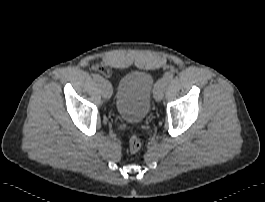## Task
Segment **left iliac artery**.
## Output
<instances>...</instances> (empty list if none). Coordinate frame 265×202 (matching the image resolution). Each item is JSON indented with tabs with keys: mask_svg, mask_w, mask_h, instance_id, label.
I'll use <instances>...</instances> for the list:
<instances>
[{
	"mask_svg": "<svg viewBox=\"0 0 265 202\" xmlns=\"http://www.w3.org/2000/svg\"><path fill=\"white\" fill-rule=\"evenodd\" d=\"M174 77V74L171 73V72H168L164 75V78L167 80V81H171Z\"/></svg>",
	"mask_w": 265,
	"mask_h": 202,
	"instance_id": "left-iliac-artery-1",
	"label": "left iliac artery"
}]
</instances>
